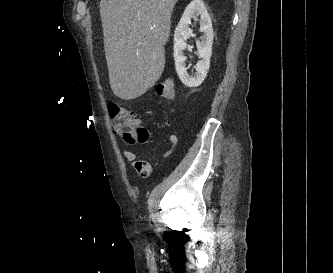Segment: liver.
I'll return each instance as SVG.
<instances>
[{"label": "liver", "instance_id": "liver-1", "mask_svg": "<svg viewBox=\"0 0 333 273\" xmlns=\"http://www.w3.org/2000/svg\"><path fill=\"white\" fill-rule=\"evenodd\" d=\"M178 0H101L104 50L113 93L143 95L165 67L171 15Z\"/></svg>", "mask_w": 333, "mask_h": 273}]
</instances>
